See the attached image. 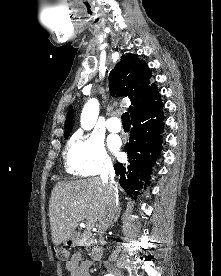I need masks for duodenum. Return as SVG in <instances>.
<instances>
[{"mask_svg":"<svg viewBox=\"0 0 221 276\" xmlns=\"http://www.w3.org/2000/svg\"><path fill=\"white\" fill-rule=\"evenodd\" d=\"M103 250L100 247H95L91 250V257L93 260H97L102 256Z\"/></svg>","mask_w":221,"mask_h":276,"instance_id":"410a0bca","label":"duodenum"}]
</instances>
